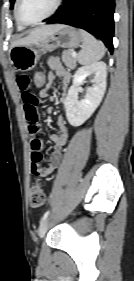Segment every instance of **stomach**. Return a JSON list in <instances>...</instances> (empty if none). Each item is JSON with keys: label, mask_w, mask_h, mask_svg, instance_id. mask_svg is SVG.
<instances>
[{"label": "stomach", "mask_w": 134, "mask_h": 281, "mask_svg": "<svg viewBox=\"0 0 134 281\" xmlns=\"http://www.w3.org/2000/svg\"><path fill=\"white\" fill-rule=\"evenodd\" d=\"M83 41L81 32L74 27H62L44 39L29 45H18L11 49L10 60L15 69L21 72L32 70L42 53L58 47L75 48Z\"/></svg>", "instance_id": "stomach-1"}]
</instances>
